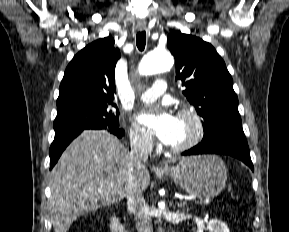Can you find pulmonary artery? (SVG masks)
I'll use <instances>...</instances> for the list:
<instances>
[{"mask_svg": "<svg viewBox=\"0 0 289 232\" xmlns=\"http://www.w3.org/2000/svg\"><path fill=\"white\" fill-rule=\"evenodd\" d=\"M166 82L162 79L156 80L153 86L140 94L139 98L143 102H153L166 91Z\"/></svg>", "mask_w": 289, "mask_h": 232, "instance_id": "e3ab8cb5", "label": "pulmonary artery"}]
</instances>
